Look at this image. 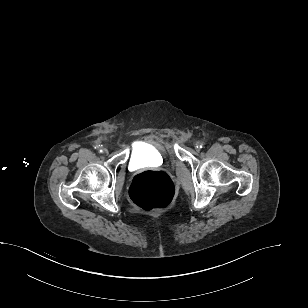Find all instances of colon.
Segmentation results:
<instances>
[{
    "mask_svg": "<svg viewBox=\"0 0 308 308\" xmlns=\"http://www.w3.org/2000/svg\"><path fill=\"white\" fill-rule=\"evenodd\" d=\"M132 202L145 211L162 210L174 197V185L164 172L147 171L137 175L130 186Z\"/></svg>",
    "mask_w": 308,
    "mask_h": 308,
    "instance_id": "obj_1",
    "label": "colon"
}]
</instances>
